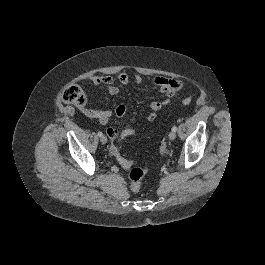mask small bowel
I'll return each mask as SVG.
<instances>
[{"instance_id": "1", "label": "small bowel", "mask_w": 265, "mask_h": 265, "mask_svg": "<svg viewBox=\"0 0 265 265\" xmlns=\"http://www.w3.org/2000/svg\"><path fill=\"white\" fill-rule=\"evenodd\" d=\"M134 79L138 84H147L152 88L159 89L167 95V99L165 101H154L150 104V109L146 115L147 119L150 121L156 118L158 112L179 93L183 86L180 80L165 77H156L149 82L140 75H135ZM88 80L91 85L101 87L106 94L105 99L108 100V95L114 96L119 93V87L116 85V81L122 85H127L130 82V77L126 72H120L117 74L116 78L110 75H92L88 78ZM85 113L90 117L96 118L100 124L106 125L110 118L114 115L118 118L123 117L126 114V107L123 104H120L113 111L86 110Z\"/></svg>"}]
</instances>
